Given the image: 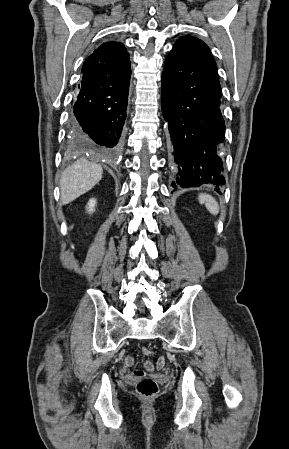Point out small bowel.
I'll use <instances>...</instances> for the list:
<instances>
[{"instance_id":"c3829d8e","label":"small bowel","mask_w":289,"mask_h":449,"mask_svg":"<svg viewBox=\"0 0 289 449\" xmlns=\"http://www.w3.org/2000/svg\"><path fill=\"white\" fill-rule=\"evenodd\" d=\"M165 363H166V358L164 356H159L157 358V368L162 369L165 366ZM125 364L128 367H135L134 357L132 355H126L125 356ZM144 366L147 370H152L154 367L152 362H146ZM139 372H143V371L135 370V371H133V374L135 376H138Z\"/></svg>"}]
</instances>
